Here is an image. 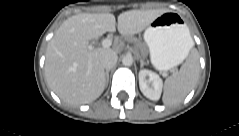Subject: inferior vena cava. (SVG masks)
<instances>
[{
	"mask_svg": "<svg viewBox=\"0 0 239 136\" xmlns=\"http://www.w3.org/2000/svg\"><path fill=\"white\" fill-rule=\"evenodd\" d=\"M118 56L114 51H107L100 55V63L103 68L111 69L117 62Z\"/></svg>",
	"mask_w": 239,
	"mask_h": 136,
	"instance_id": "obj_1",
	"label": "inferior vena cava"
}]
</instances>
